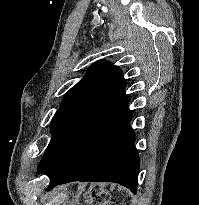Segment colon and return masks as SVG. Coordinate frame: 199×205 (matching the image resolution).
I'll return each instance as SVG.
<instances>
[{
    "mask_svg": "<svg viewBox=\"0 0 199 205\" xmlns=\"http://www.w3.org/2000/svg\"><path fill=\"white\" fill-rule=\"evenodd\" d=\"M93 198L98 202H103L106 199V194L103 190H97L93 193Z\"/></svg>",
    "mask_w": 199,
    "mask_h": 205,
    "instance_id": "1",
    "label": "colon"
}]
</instances>
